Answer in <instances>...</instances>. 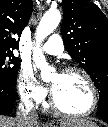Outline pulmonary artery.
<instances>
[{"label":"pulmonary artery","mask_w":108,"mask_h":127,"mask_svg":"<svg viewBox=\"0 0 108 127\" xmlns=\"http://www.w3.org/2000/svg\"><path fill=\"white\" fill-rule=\"evenodd\" d=\"M63 49V42L58 34H53L42 46V50L51 55H59L63 52Z\"/></svg>","instance_id":"pulmonary-artery-1"}]
</instances>
